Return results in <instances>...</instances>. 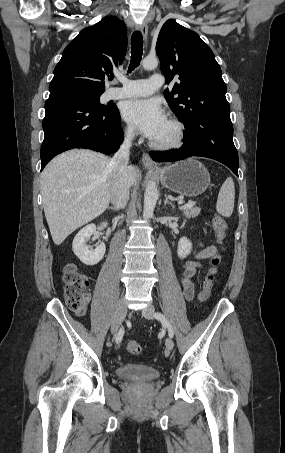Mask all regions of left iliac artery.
Returning a JSON list of instances; mask_svg holds the SVG:
<instances>
[{"mask_svg":"<svg viewBox=\"0 0 285 453\" xmlns=\"http://www.w3.org/2000/svg\"><path fill=\"white\" fill-rule=\"evenodd\" d=\"M154 317L157 320H159L165 327L168 328V334L172 338L174 336V330H173L172 326L170 325V323L166 320L165 316L162 313L157 312L154 314Z\"/></svg>","mask_w":285,"mask_h":453,"instance_id":"obj_1","label":"left iliac artery"}]
</instances>
